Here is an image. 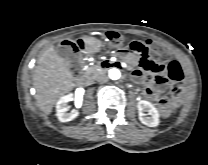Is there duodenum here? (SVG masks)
Returning a JSON list of instances; mask_svg holds the SVG:
<instances>
[{"label": "duodenum", "mask_w": 208, "mask_h": 165, "mask_svg": "<svg viewBox=\"0 0 208 165\" xmlns=\"http://www.w3.org/2000/svg\"><path fill=\"white\" fill-rule=\"evenodd\" d=\"M109 67V64L103 63L101 65V69H107ZM93 81V78L89 75H84L79 77V83L81 85H89Z\"/></svg>", "instance_id": "obj_1"}]
</instances>
